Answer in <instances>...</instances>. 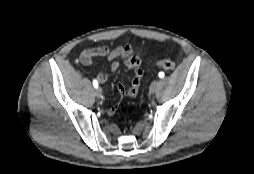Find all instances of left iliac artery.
Listing matches in <instances>:
<instances>
[{
	"instance_id": "1",
	"label": "left iliac artery",
	"mask_w": 254,
	"mask_h": 174,
	"mask_svg": "<svg viewBox=\"0 0 254 174\" xmlns=\"http://www.w3.org/2000/svg\"><path fill=\"white\" fill-rule=\"evenodd\" d=\"M164 72H159V74H158V76L160 77V78H163L164 77Z\"/></svg>"
}]
</instances>
